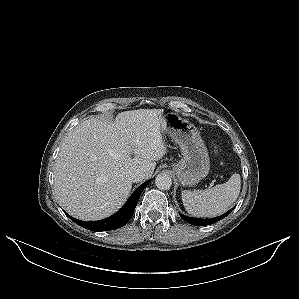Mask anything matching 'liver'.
Returning a JSON list of instances; mask_svg holds the SVG:
<instances>
[{"label":"liver","instance_id":"6515ba94","mask_svg":"<svg viewBox=\"0 0 299 299\" xmlns=\"http://www.w3.org/2000/svg\"><path fill=\"white\" fill-rule=\"evenodd\" d=\"M162 114V109L124 111L112 123L92 117L69 131L54 168L61 207L85 221L115 213L131 192L130 173L142 169L144 179L150 178L167 153Z\"/></svg>","mask_w":299,"mask_h":299}]
</instances>
